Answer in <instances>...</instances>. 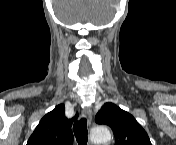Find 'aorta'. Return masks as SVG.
Returning <instances> with one entry per match:
<instances>
[{"label":"aorta","mask_w":176,"mask_h":145,"mask_svg":"<svg viewBox=\"0 0 176 145\" xmlns=\"http://www.w3.org/2000/svg\"><path fill=\"white\" fill-rule=\"evenodd\" d=\"M91 141L96 144L100 145L103 143H107L111 140L112 135L109 129L105 126H95L91 130Z\"/></svg>","instance_id":"aorta-1"}]
</instances>
